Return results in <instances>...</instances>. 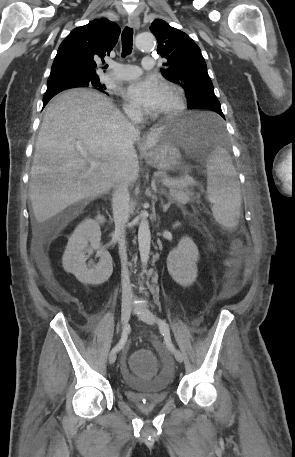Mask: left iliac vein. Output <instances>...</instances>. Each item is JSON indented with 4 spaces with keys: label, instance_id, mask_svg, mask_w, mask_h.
Masks as SVG:
<instances>
[{
    "label": "left iliac vein",
    "instance_id": "1",
    "mask_svg": "<svg viewBox=\"0 0 295 457\" xmlns=\"http://www.w3.org/2000/svg\"><path fill=\"white\" fill-rule=\"evenodd\" d=\"M138 318L142 321H144L147 324L154 325L156 323V318L152 313L146 312V311H141L138 315ZM175 359L178 362H183V355L179 350H176L173 352Z\"/></svg>",
    "mask_w": 295,
    "mask_h": 457
}]
</instances>
